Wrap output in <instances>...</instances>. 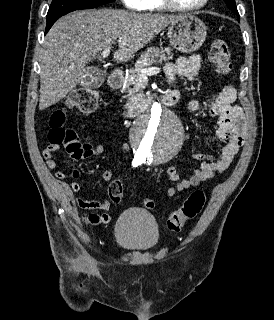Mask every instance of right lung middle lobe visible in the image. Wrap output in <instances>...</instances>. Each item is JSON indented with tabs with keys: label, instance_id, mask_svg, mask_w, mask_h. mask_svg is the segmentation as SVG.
Here are the masks:
<instances>
[{
	"label": "right lung middle lobe",
	"instance_id": "right-lung-middle-lobe-1",
	"mask_svg": "<svg viewBox=\"0 0 274 320\" xmlns=\"http://www.w3.org/2000/svg\"><path fill=\"white\" fill-rule=\"evenodd\" d=\"M115 0H52L47 19L65 15L75 10L91 9L114 2Z\"/></svg>",
	"mask_w": 274,
	"mask_h": 320
}]
</instances>
